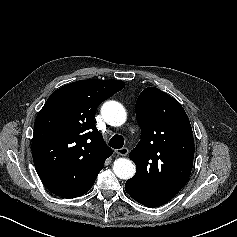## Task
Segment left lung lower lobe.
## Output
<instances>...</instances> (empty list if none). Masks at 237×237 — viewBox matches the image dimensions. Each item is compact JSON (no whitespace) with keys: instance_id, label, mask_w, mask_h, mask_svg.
Returning a JSON list of instances; mask_svg holds the SVG:
<instances>
[{"instance_id":"obj_1","label":"left lung lower lobe","mask_w":237,"mask_h":237,"mask_svg":"<svg viewBox=\"0 0 237 237\" xmlns=\"http://www.w3.org/2000/svg\"><path fill=\"white\" fill-rule=\"evenodd\" d=\"M125 190L133 199H135V197H134V195L132 193L131 180L130 179L126 181Z\"/></svg>"}]
</instances>
